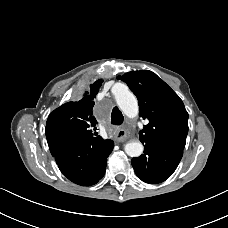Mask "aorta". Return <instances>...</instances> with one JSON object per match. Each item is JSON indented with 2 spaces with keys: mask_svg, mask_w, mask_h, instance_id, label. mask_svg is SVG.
I'll return each instance as SVG.
<instances>
[{
  "mask_svg": "<svg viewBox=\"0 0 228 228\" xmlns=\"http://www.w3.org/2000/svg\"><path fill=\"white\" fill-rule=\"evenodd\" d=\"M114 95L119 108L128 118L138 116L139 108L135 95L124 84H117ZM143 145L140 141H130L125 145V152L130 157H138L143 153Z\"/></svg>",
  "mask_w": 228,
  "mask_h": 228,
  "instance_id": "762f6f07",
  "label": "aorta"
}]
</instances>
